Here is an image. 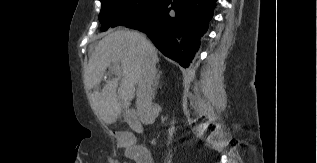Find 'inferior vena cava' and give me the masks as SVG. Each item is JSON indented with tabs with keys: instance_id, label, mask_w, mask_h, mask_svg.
I'll return each instance as SVG.
<instances>
[{
	"instance_id": "obj_1",
	"label": "inferior vena cava",
	"mask_w": 317,
	"mask_h": 163,
	"mask_svg": "<svg viewBox=\"0 0 317 163\" xmlns=\"http://www.w3.org/2000/svg\"><path fill=\"white\" fill-rule=\"evenodd\" d=\"M155 75V61L150 57L145 62L137 87L136 106L138 115L143 123H147L153 116L152 98L154 91L152 86Z\"/></svg>"
}]
</instances>
